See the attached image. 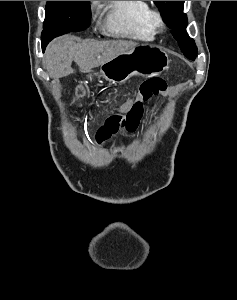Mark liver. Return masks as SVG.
<instances>
[{
    "mask_svg": "<svg viewBox=\"0 0 237 300\" xmlns=\"http://www.w3.org/2000/svg\"><path fill=\"white\" fill-rule=\"evenodd\" d=\"M76 37H59L48 45L45 53L46 69L51 77H66L73 73L72 61L77 63L81 73L100 67L117 55L134 49L138 43L133 41H81Z\"/></svg>",
    "mask_w": 237,
    "mask_h": 300,
    "instance_id": "6515ba94",
    "label": "liver"
}]
</instances>
